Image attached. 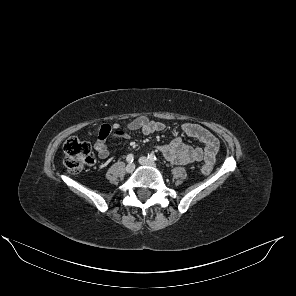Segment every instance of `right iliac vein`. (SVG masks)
I'll return each instance as SVG.
<instances>
[{"instance_id": "1", "label": "right iliac vein", "mask_w": 296, "mask_h": 296, "mask_svg": "<svg viewBox=\"0 0 296 296\" xmlns=\"http://www.w3.org/2000/svg\"><path fill=\"white\" fill-rule=\"evenodd\" d=\"M134 169H135V165L133 163H130L126 166L125 170L127 173H132L134 171Z\"/></svg>"}]
</instances>
